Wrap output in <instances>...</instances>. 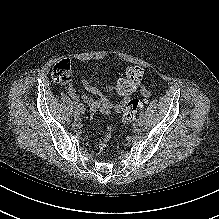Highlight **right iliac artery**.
Returning <instances> with one entry per match:
<instances>
[{"instance_id": "obj_1", "label": "right iliac artery", "mask_w": 219, "mask_h": 219, "mask_svg": "<svg viewBox=\"0 0 219 219\" xmlns=\"http://www.w3.org/2000/svg\"><path fill=\"white\" fill-rule=\"evenodd\" d=\"M74 106H75L76 108L81 109V110L84 109L83 106H82V104H79L78 101H76V100L74 101Z\"/></svg>"}]
</instances>
